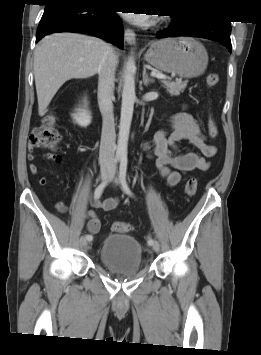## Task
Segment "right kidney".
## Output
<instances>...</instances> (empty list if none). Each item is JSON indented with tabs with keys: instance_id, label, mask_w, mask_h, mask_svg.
Wrapping results in <instances>:
<instances>
[{
	"instance_id": "1",
	"label": "right kidney",
	"mask_w": 261,
	"mask_h": 355,
	"mask_svg": "<svg viewBox=\"0 0 261 355\" xmlns=\"http://www.w3.org/2000/svg\"><path fill=\"white\" fill-rule=\"evenodd\" d=\"M72 118L81 127H87L92 120L91 113L83 108H78L76 113L72 114Z\"/></svg>"
}]
</instances>
